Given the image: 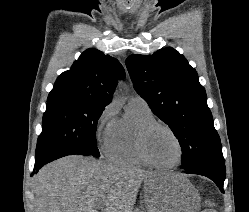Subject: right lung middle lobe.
<instances>
[{"mask_svg": "<svg viewBox=\"0 0 249 212\" xmlns=\"http://www.w3.org/2000/svg\"><path fill=\"white\" fill-rule=\"evenodd\" d=\"M105 106L75 98L48 99L36 156L70 149L80 155L99 157L96 127Z\"/></svg>", "mask_w": 249, "mask_h": 212, "instance_id": "1", "label": "right lung middle lobe"}]
</instances>
